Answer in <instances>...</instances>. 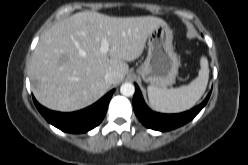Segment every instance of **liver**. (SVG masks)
Returning a JSON list of instances; mask_svg holds the SVG:
<instances>
[{
	"label": "liver",
	"mask_w": 248,
	"mask_h": 165,
	"mask_svg": "<svg viewBox=\"0 0 248 165\" xmlns=\"http://www.w3.org/2000/svg\"><path fill=\"white\" fill-rule=\"evenodd\" d=\"M166 22L158 17H110L85 11L60 20L45 31L32 56L30 79L37 101L51 109L72 112L102 97L128 72L127 61L141 56L149 34ZM106 38L109 51L100 52Z\"/></svg>",
	"instance_id": "obj_1"
}]
</instances>
